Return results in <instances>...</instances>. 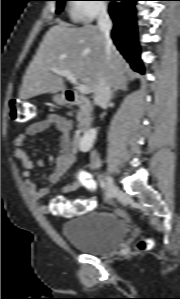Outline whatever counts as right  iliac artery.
Segmentation results:
<instances>
[{
  "mask_svg": "<svg viewBox=\"0 0 180 299\" xmlns=\"http://www.w3.org/2000/svg\"><path fill=\"white\" fill-rule=\"evenodd\" d=\"M100 187L104 190L106 188V183L104 180L100 181Z\"/></svg>",
  "mask_w": 180,
  "mask_h": 299,
  "instance_id": "obj_1",
  "label": "right iliac artery"
}]
</instances>
